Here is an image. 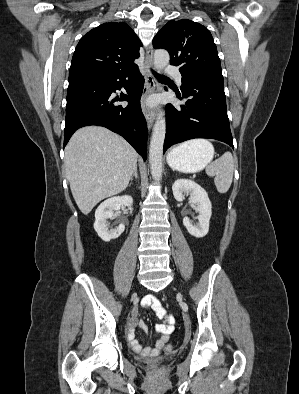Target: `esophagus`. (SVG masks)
Instances as JSON below:
<instances>
[{"label": "esophagus", "mask_w": 299, "mask_h": 394, "mask_svg": "<svg viewBox=\"0 0 299 394\" xmlns=\"http://www.w3.org/2000/svg\"><path fill=\"white\" fill-rule=\"evenodd\" d=\"M144 68H145V87H144V92L142 96V111L143 114L146 118L148 127L151 128L153 125V122L156 117V112L154 108L149 107L146 103V98L149 94L158 91V82L152 75L151 70L153 69V48L152 45H150L147 48L146 51V57H145V62H144Z\"/></svg>", "instance_id": "1"}]
</instances>
